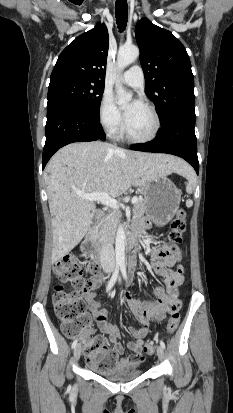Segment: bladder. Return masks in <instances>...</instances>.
Listing matches in <instances>:
<instances>
[{
  "label": "bladder",
  "mask_w": 233,
  "mask_h": 413,
  "mask_svg": "<svg viewBox=\"0 0 233 413\" xmlns=\"http://www.w3.org/2000/svg\"><path fill=\"white\" fill-rule=\"evenodd\" d=\"M143 374L140 369H132L126 371H119L112 374H102V377L109 381H129L136 379Z\"/></svg>",
  "instance_id": "obj_1"
}]
</instances>
